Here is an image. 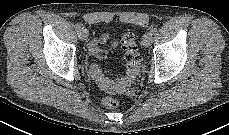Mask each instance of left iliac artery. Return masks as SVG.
<instances>
[{
	"instance_id": "44dca946",
	"label": "left iliac artery",
	"mask_w": 229,
	"mask_h": 135,
	"mask_svg": "<svg viewBox=\"0 0 229 135\" xmlns=\"http://www.w3.org/2000/svg\"><path fill=\"white\" fill-rule=\"evenodd\" d=\"M156 32H157V29H156V28H152V29L149 31V33H150L151 35H154Z\"/></svg>"
}]
</instances>
